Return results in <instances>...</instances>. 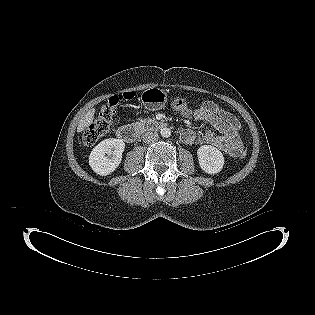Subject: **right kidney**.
Masks as SVG:
<instances>
[{"mask_svg": "<svg viewBox=\"0 0 315 315\" xmlns=\"http://www.w3.org/2000/svg\"><path fill=\"white\" fill-rule=\"evenodd\" d=\"M125 143L120 139H105L91 151L89 165L92 170L101 176L115 171L122 160Z\"/></svg>", "mask_w": 315, "mask_h": 315, "instance_id": "1", "label": "right kidney"}]
</instances>
